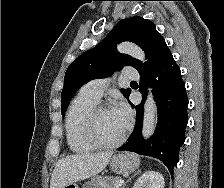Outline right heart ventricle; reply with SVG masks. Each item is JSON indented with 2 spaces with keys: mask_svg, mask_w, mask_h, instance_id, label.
Wrapping results in <instances>:
<instances>
[{
  "mask_svg": "<svg viewBox=\"0 0 224 188\" xmlns=\"http://www.w3.org/2000/svg\"><path fill=\"white\" fill-rule=\"evenodd\" d=\"M97 103V99L81 90L70 104L65 119V132L68 147L74 153H86L95 148L85 136L84 123L88 112Z\"/></svg>",
  "mask_w": 224,
  "mask_h": 188,
  "instance_id": "right-heart-ventricle-1",
  "label": "right heart ventricle"
}]
</instances>
